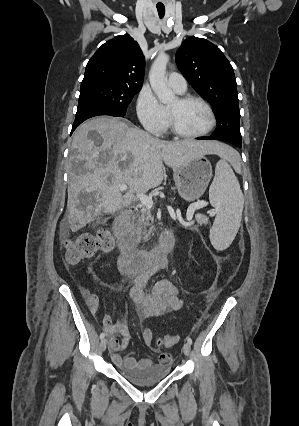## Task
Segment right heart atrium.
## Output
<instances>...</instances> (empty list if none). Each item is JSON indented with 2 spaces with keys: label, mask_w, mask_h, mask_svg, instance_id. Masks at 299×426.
<instances>
[{
  "label": "right heart atrium",
  "mask_w": 299,
  "mask_h": 426,
  "mask_svg": "<svg viewBox=\"0 0 299 426\" xmlns=\"http://www.w3.org/2000/svg\"><path fill=\"white\" fill-rule=\"evenodd\" d=\"M136 113L142 126L153 134H162L168 125V115L150 87L144 86L137 97Z\"/></svg>",
  "instance_id": "obj_1"
}]
</instances>
